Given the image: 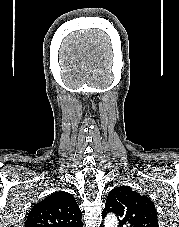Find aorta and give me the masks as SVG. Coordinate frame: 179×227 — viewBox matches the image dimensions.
Instances as JSON below:
<instances>
[{
  "label": "aorta",
  "instance_id": "obj_1",
  "mask_svg": "<svg viewBox=\"0 0 179 227\" xmlns=\"http://www.w3.org/2000/svg\"><path fill=\"white\" fill-rule=\"evenodd\" d=\"M117 217L114 214H109L105 218V227H117Z\"/></svg>",
  "mask_w": 179,
  "mask_h": 227
}]
</instances>
